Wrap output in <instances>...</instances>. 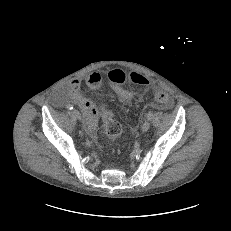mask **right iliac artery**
Listing matches in <instances>:
<instances>
[{"label":"right iliac artery","mask_w":231,"mask_h":231,"mask_svg":"<svg viewBox=\"0 0 231 231\" xmlns=\"http://www.w3.org/2000/svg\"><path fill=\"white\" fill-rule=\"evenodd\" d=\"M66 108L69 109V110H72V109H73V106H72L71 104H68V105L66 106Z\"/></svg>","instance_id":"right-iliac-artery-1"}]
</instances>
